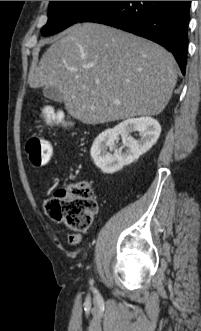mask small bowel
Listing matches in <instances>:
<instances>
[{"instance_id": "c3829d8e", "label": "small bowel", "mask_w": 201, "mask_h": 331, "mask_svg": "<svg viewBox=\"0 0 201 331\" xmlns=\"http://www.w3.org/2000/svg\"><path fill=\"white\" fill-rule=\"evenodd\" d=\"M69 241L71 244L76 245L80 241V236L77 234L69 235Z\"/></svg>"}]
</instances>
